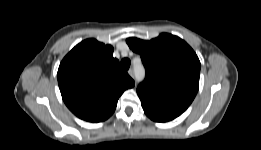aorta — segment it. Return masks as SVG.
I'll return each mask as SVG.
<instances>
[{
  "mask_svg": "<svg viewBox=\"0 0 261 150\" xmlns=\"http://www.w3.org/2000/svg\"><path fill=\"white\" fill-rule=\"evenodd\" d=\"M144 77V70L139 67L136 72V79L141 80Z\"/></svg>",
  "mask_w": 261,
  "mask_h": 150,
  "instance_id": "aorta-1",
  "label": "aorta"
}]
</instances>
